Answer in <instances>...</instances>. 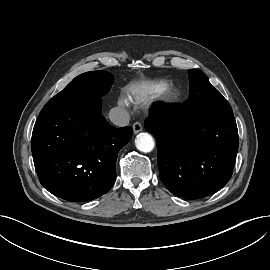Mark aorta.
I'll use <instances>...</instances> for the list:
<instances>
[{
	"label": "aorta",
	"mask_w": 270,
	"mask_h": 270,
	"mask_svg": "<svg viewBox=\"0 0 270 270\" xmlns=\"http://www.w3.org/2000/svg\"><path fill=\"white\" fill-rule=\"evenodd\" d=\"M136 147L139 151L148 153L154 148V140L148 133H140L135 140Z\"/></svg>",
	"instance_id": "aorta-1"
}]
</instances>
